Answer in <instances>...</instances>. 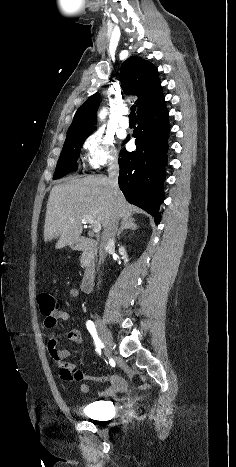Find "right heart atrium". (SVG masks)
Returning <instances> with one entry per match:
<instances>
[{
	"label": "right heart atrium",
	"instance_id": "obj_1",
	"mask_svg": "<svg viewBox=\"0 0 236 467\" xmlns=\"http://www.w3.org/2000/svg\"><path fill=\"white\" fill-rule=\"evenodd\" d=\"M87 164L93 169H99L114 162L116 149L114 138L102 130L94 131L83 142Z\"/></svg>",
	"mask_w": 236,
	"mask_h": 467
}]
</instances>
